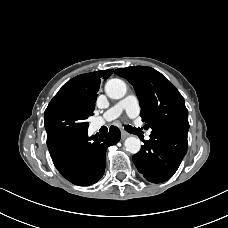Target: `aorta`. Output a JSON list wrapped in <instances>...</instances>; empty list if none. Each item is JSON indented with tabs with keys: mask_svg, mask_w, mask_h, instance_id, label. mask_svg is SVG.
I'll list each match as a JSON object with an SVG mask.
<instances>
[{
	"mask_svg": "<svg viewBox=\"0 0 228 228\" xmlns=\"http://www.w3.org/2000/svg\"><path fill=\"white\" fill-rule=\"evenodd\" d=\"M127 87L121 79H110L105 85V92L108 97L112 99H121L125 96ZM125 148L128 152L136 154L140 151V140L136 137H128L124 142Z\"/></svg>",
	"mask_w": 228,
	"mask_h": 228,
	"instance_id": "1",
	"label": "aorta"
}]
</instances>
